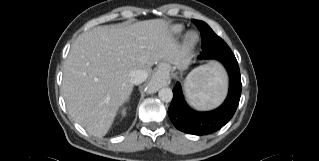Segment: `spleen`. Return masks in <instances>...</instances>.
<instances>
[{
    "mask_svg": "<svg viewBox=\"0 0 319 161\" xmlns=\"http://www.w3.org/2000/svg\"><path fill=\"white\" fill-rule=\"evenodd\" d=\"M185 95L195 108L206 110L218 106L226 92V76L217 63L191 73L185 81Z\"/></svg>",
    "mask_w": 319,
    "mask_h": 161,
    "instance_id": "3e777b00",
    "label": "spleen"
}]
</instances>
